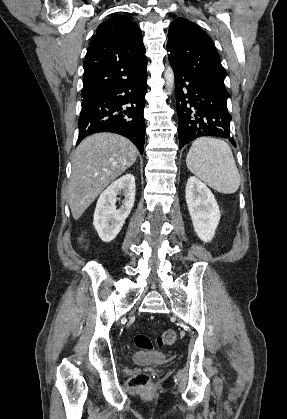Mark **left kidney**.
<instances>
[{"instance_id":"left-kidney-1","label":"left kidney","mask_w":287,"mask_h":419,"mask_svg":"<svg viewBox=\"0 0 287 419\" xmlns=\"http://www.w3.org/2000/svg\"><path fill=\"white\" fill-rule=\"evenodd\" d=\"M186 203L194 230L204 242H210L220 221V210L211 190L195 176H190L185 190Z\"/></svg>"}]
</instances>
